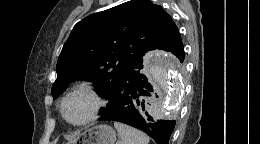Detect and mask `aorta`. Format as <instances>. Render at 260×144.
Wrapping results in <instances>:
<instances>
[{"label": "aorta", "mask_w": 260, "mask_h": 144, "mask_svg": "<svg viewBox=\"0 0 260 144\" xmlns=\"http://www.w3.org/2000/svg\"><path fill=\"white\" fill-rule=\"evenodd\" d=\"M148 63L149 75L163 92L158 113L166 116L176 108L181 94V82L177 74L178 63L165 52L153 54Z\"/></svg>", "instance_id": "aorta-1"}]
</instances>
